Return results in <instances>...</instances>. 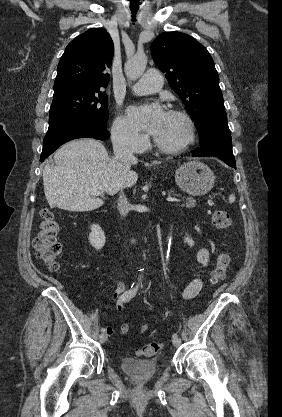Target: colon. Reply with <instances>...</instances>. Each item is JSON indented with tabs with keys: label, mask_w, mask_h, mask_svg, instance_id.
I'll return each instance as SVG.
<instances>
[{
	"label": "colon",
	"mask_w": 282,
	"mask_h": 417,
	"mask_svg": "<svg viewBox=\"0 0 282 417\" xmlns=\"http://www.w3.org/2000/svg\"><path fill=\"white\" fill-rule=\"evenodd\" d=\"M39 214L41 223L39 233L35 240L36 255L43 265L51 271H56L60 265V246L57 239L60 229L59 222L50 208L41 209ZM208 217L212 226L217 229L223 230L229 227L230 216L225 210H212L208 213ZM230 263L231 259L228 255L220 254L218 256L211 271L212 283L223 279L230 267ZM160 347L159 343H148L144 347H141L140 354L144 357L155 356L160 350Z\"/></svg>",
	"instance_id": "obj_1"
}]
</instances>
